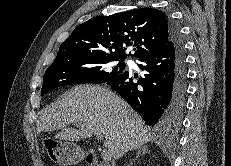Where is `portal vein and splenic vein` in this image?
I'll return each instance as SVG.
<instances>
[{
  "label": "portal vein and splenic vein",
  "mask_w": 231,
  "mask_h": 166,
  "mask_svg": "<svg viewBox=\"0 0 231 166\" xmlns=\"http://www.w3.org/2000/svg\"><path fill=\"white\" fill-rule=\"evenodd\" d=\"M98 140H103V135L101 133H95ZM102 159L107 162L111 159V154L108 149H103L101 152Z\"/></svg>",
  "instance_id": "obj_1"
}]
</instances>
